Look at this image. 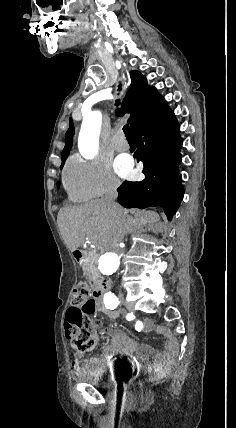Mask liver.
<instances>
[{"mask_svg":"<svg viewBox=\"0 0 236 428\" xmlns=\"http://www.w3.org/2000/svg\"><path fill=\"white\" fill-rule=\"evenodd\" d=\"M121 214L107 208L104 198L91 200L82 206L63 208L57 216L62 238L71 252L81 248L88 238L94 246H103L106 250L121 244L128 232H133L138 226H149L153 234H158L160 220L156 212H139L138 218L127 216L120 206Z\"/></svg>","mask_w":236,"mask_h":428,"instance_id":"1","label":"liver"}]
</instances>
